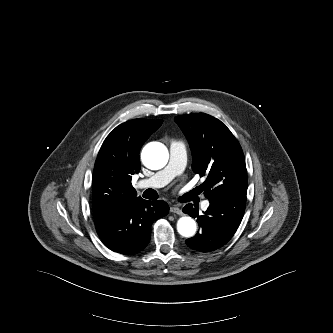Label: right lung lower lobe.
Returning <instances> with one entry per match:
<instances>
[{"mask_svg": "<svg viewBox=\"0 0 333 333\" xmlns=\"http://www.w3.org/2000/svg\"><path fill=\"white\" fill-rule=\"evenodd\" d=\"M169 212L164 201L133 198L126 205L106 213H94L96 230L103 243L121 254H132L149 243L152 223Z\"/></svg>", "mask_w": 333, "mask_h": 333, "instance_id": "1", "label": "right lung lower lobe"}]
</instances>
